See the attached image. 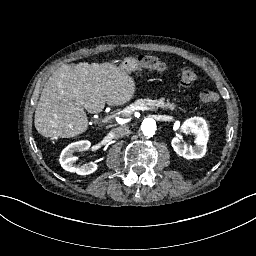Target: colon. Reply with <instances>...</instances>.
Segmentation results:
<instances>
[{
	"instance_id": "5ec220e1",
	"label": "colon",
	"mask_w": 256,
	"mask_h": 256,
	"mask_svg": "<svg viewBox=\"0 0 256 256\" xmlns=\"http://www.w3.org/2000/svg\"><path fill=\"white\" fill-rule=\"evenodd\" d=\"M141 62V69L153 72L162 71L165 64L158 58L150 55H141L135 58ZM180 83L184 87H191L198 79V72L190 67H183L179 72ZM200 101L204 104H214L218 101V95L210 86H204L200 92Z\"/></svg>"
}]
</instances>
